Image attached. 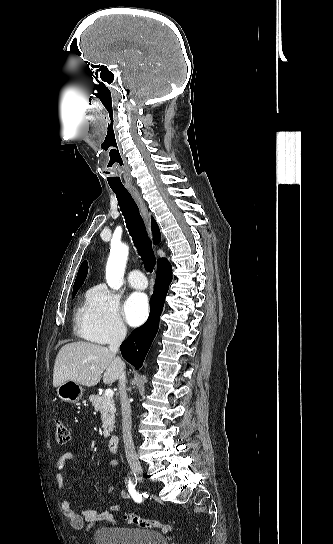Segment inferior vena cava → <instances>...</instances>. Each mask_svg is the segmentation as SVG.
Masks as SVG:
<instances>
[{
	"label": "inferior vena cava",
	"mask_w": 333,
	"mask_h": 544,
	"mask_svg": "<svg viewBox=\"0 0 333 544\" xmlns=\"http://www.w3.org/2000/svg\"><path fill=\"white\" fill-rule=\"evenodd\" d=\"M126 337V328L119 327L112 335L109 342V351L112 354H116L119 351V346ZM120 359V358H119ZM119 395L121 402L122 410V433L123 441L125 447L126 458L131 468L140 469V463L135 451L134 442L132 439V418H131V407L130 402L126 392V375L124 369H121L119 372Z\"/></svg>",
	"instance_id": "1"
}]
</instances>
